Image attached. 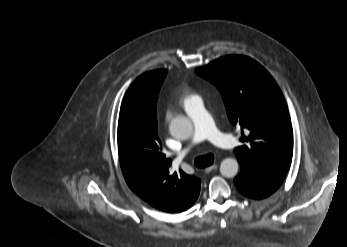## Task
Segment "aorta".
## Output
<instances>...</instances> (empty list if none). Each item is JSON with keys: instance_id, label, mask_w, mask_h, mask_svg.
<instances>
[{"instance_id": "aorta-1", "label": "aorta", "mask_w": 347, "mask_h": 247, "mask_svg": "<svg viewBox=\"0 0 347 247\" xmlns=\"http://www.w3.org/2000/svg\"><path fill=\"white\" fill-rule=\"evenodd\" d=\"M169 130L173 137L181 140L188 139L193 130L190 119L185 116H177L169 124ZM239 169L238 161L234 158H225L220 165V173L226 178L234 177Z\"/></svg>"}]
</instances>
